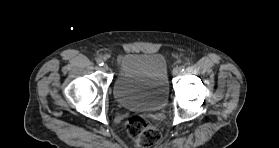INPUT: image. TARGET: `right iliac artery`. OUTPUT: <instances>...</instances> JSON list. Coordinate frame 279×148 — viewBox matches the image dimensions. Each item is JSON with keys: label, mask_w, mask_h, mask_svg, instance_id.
Wrapping results in <instances>:
<instances>
[{"label": "right iliac artery", "mask_w": 279, "mask_h": 148, "mask_svg": "<svg viewBox=\"0 0 279 148\" xmlns=\"http://www.w3.org/2000/svg\"><path fill=\"white\" fill-rule=\"evenodd\" d=\"M97 64H98L99 66H103L104 63H103V61H102L101 59H98V60H97Z\"/></svg>", "instance_id": "right-iliac-artery-1"}]
</instances>
